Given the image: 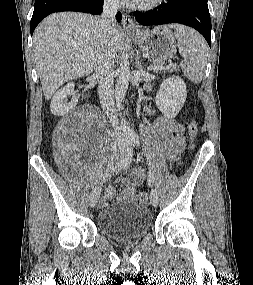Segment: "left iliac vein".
<instances>
[{
    "label": "left iliac vein",
    "instance_id": "1",
    "mask_svg": "<svg viewBox=\"0 0 253 285\" xmlns=\"http://www.w3.org/2000/svg\"><path fill=\"white\" fill-rule=\"evenodd\" d=\"M127 149V148H126ZM158 194L154 189H151L150 191V202L153 206H157L158 205Z\"/></svg>",
    "mask_w": 253,
    "mask_h": 285
}]
</instances>
